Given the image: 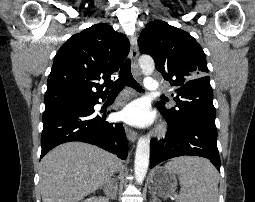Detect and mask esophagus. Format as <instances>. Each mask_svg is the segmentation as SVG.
Returning a JSON list of instances; mask_svg holds the SVG:
<instances>
[{
	"instance_id": "34e87169",
	"label": "esophagus",
	"mask_w": 255,
	"mask_h": 202,
	"mask_svg": "<svg viewBox=\"0 0 255 202\" xmlns=\"http://www.w3.org/2000/svg\"><path fill=\"white\" fill-rule=\"evenodd\" d=\"M139 51H138V44H137V36L133 35L130 40V58L132 61V66L134 69L137 68V59H138ZM125 133L127 138L131 142H135L137 139V133L129 128L128 126H124Z\"/></svg>"
}]
</instances>
